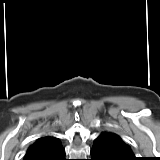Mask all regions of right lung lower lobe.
<instances>
[{
	"mask_svg": "<svg viewBox=\"0 0 160 160\" xmlns=\"http://www.w3.org/2000/svg\"><path fill=\"white\" fill-rule=\"evenodd\" d=\"M40 160H66L65 159V150L61 146L60 149H58L57 151H55V152H53L43 158H40Z\"/></svg>",
	"mask_w": 160,
	"mask_h": 160,
	"instance_id": "98d812e1",
	"label": "right lung lower lobe"
}]
</instances>
